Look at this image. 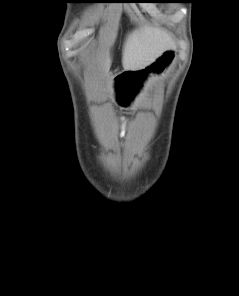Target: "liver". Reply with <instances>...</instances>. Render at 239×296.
Instances as JSON below:
<instances>
[{"label": "liver", "mask_w": 239, "mask_h": 296, "mask_svg": "<svg viewBox=\"0 0 239 296\" xmlns=\"http://www.w3.org/2000/svg\"><path fill=\"white\" fill-rule=\"evenodd\" d=\"M171 37L163 30L145 26L140 31H135L128 36L123 46L122 65L126 70L140 69L163 51L173 47ZM105 71L110 68V59L106 55Z\"/></svg>", "instance_id": "6515ba94"}]
</instances>
